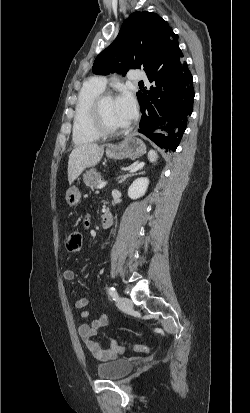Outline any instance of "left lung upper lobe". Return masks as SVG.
Wrapping results in <instances>:
<instances>
[{
  "label": "left lung upper lobe",
  "mask_w": 250,
  "mask_h": 413,
  "mask_svg": "<svg viewBox=\"0 0 250 413\" xmlns=\"http://www.w3.org/2000/svg\"><path fill=\"white\" fill-rule=\"evenodd\" d=\"M177 39L172 28L152 12H134L126 19L116 39L95 59L93 72L106 75L126 74L129 69L145 72L155 65L156 50L161 41Z\"/></svg>",
  "instance_id": "5c2ea615"
}]
</instances>
